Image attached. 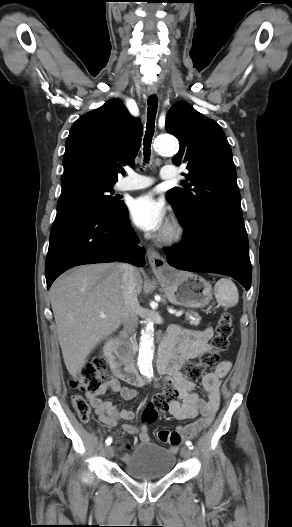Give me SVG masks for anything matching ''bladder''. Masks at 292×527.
Here are the masks:
<instances>
[{
	"instance_id": "31cf9c89",
	"label": "bladder",
	"mask_w": 292,
	"mask_h": 527,
	"mask_svg": "<svg viewBox=\"0 0 292 527\" xmlns=\"http://www.w3.org/2000/svg\"><path fill=\"white\" fill-rule=\"evenodd\" d=\"M174 465L175 455L153 442L138 445L123 459L124 473L139 480L163 478L172 472Z\"/></svg>"
}]
</instances>
